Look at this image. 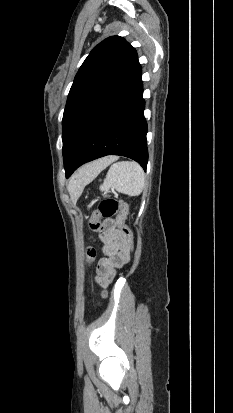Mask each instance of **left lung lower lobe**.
Returning <instances> with one entry per match:
<instances>
[{
	"mask_svg": "<svg viewBox=\"0 0 233 413\" xmlns=\"http://www.w3.org/2000/svg\"><path fill=\"white\" fill-rule=\"evenodd\" d=\"M141 73L137 58L126 79L87 127L74 157L65 165L66 178L80 165L106 155L129 157L146 171L147 124Z\"/></svg>",
	"mask_w": 233,
	"mask_h": 413,
	"instance_id": "obj_1",
	"label": "left lung lower lobe"
}]
</instances>
